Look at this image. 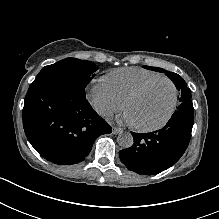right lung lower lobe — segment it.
<instances>
[{
  "label": "right lung lower lobe",
  "mask_w": 219,
  "mask_h": 219,
  "mask_svg": "<svg viewBox=\"0 0 219 219\" xmlns=\"http://www.w3.org/2000/svg\"><path fill=\"white\" fill-rule=\"evenodd\" d=\"M23 126L35 150L59 165L84 160L95 139L112 131L85 94L53 83L30 85L24 100Z\"/></svg>",
  "instance_id": "1"
}]
</instances>
